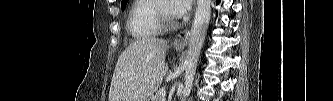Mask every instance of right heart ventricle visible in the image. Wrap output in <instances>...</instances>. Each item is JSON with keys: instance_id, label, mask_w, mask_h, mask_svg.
<instances>
[{"instance_id": "right-heart-ventricle-1", "label": "right heart ventricle", "mask_w": 333, "mask_h": 101, "mask_svg": "<svg viewBox=\"0 0 333 101\" xmlns=\"http://www.w3.org/2000/svg\"><path fill=\"white\" fill-rule=\"evenodd\" d=\"M156 0H136L128 17V29L137 40L156 37L161 32L156 8Z\"/></svg>"}]
</instances>
